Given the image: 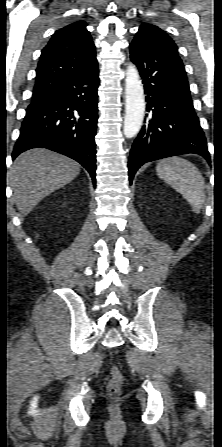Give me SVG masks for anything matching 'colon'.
Here are the masks:
<instances>
[{
  "label": "colon",
  "instance_id": "colon-1",
  "mask_svg": "<svg viewBox=\"0 0 222 447\" xmlns=\"http://www.w3.org/2000/svg\"><path fill=\"white\" fill-rule=\"evenodd\" d=\"M110 374L111 377L106 387L107 394L112 398H117L121 393L124 377L122 372L116 367L111 369Z\"/></svg>",
  "mask_w": 222,
  "mask_h": 447
}]
</instances>
